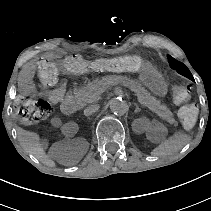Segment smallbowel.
<instances>
[{"instance_id":"c3829d8e","label":"small bowel","mask_w":211,"mask_h":211,"mask_svg":"<svg viewBox=\"0 0 211 211\" xmlns=\"http://www.w3.org/2000/svg\"><path fill=\"white\" fill-rule=\"evenodd\" d=\"M62 56V52L54 51L43 54L38 59L33 60L27 63L21 73L19 87L23 93H33L35 91V87L33 84V76L35 71L39 66L50 59L60 58ZM66 93V84L64 82L59 83L57 87L52 90L41 92V96L48 99L52 104L60 103Z\"/></svg>"}]
</instances>
